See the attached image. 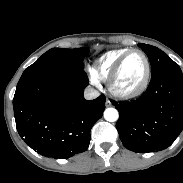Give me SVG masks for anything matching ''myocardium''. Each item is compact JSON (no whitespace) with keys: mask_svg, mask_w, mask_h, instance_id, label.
Segmentation results:
<instances>
[{"mask_svg":"<svg viewBox=\"0 0 183 183\" xmlns=\"http://www.w3.org/2000/svg\"><path fill=\"white\" fill-rule=\"evenodd\" d=\"M132 53H138L144 59L145 72H144V76H143L141 82L136 87L129 89V90H123V89H120L116 85V80H117V77L120 73V70H121L125 60ZM150 77H151V65H150L149 58L142 50L137 49V48H132V49H129L128 51H126L113 66V68L110 71V74L107 78V87H108L109 92L113 96H115L119 99H125V100L132 99V98L138 97L146 90V88L149 84V81H150Z\"/></svg>","mask_w":183,"mask_h":183,"instance_id":"myocardium-1","label":"myocardium"}]
</instances>
